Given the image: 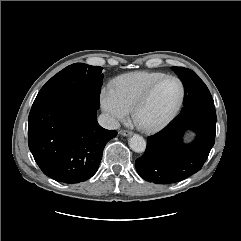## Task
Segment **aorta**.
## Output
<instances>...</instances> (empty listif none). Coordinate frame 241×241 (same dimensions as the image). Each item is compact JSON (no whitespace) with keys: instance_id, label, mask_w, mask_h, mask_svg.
<instances>
[{"instance_id":"762f6f07","label":"aorta","mask_w":241,"mask_h":241,"mask_svg":"<svg viewBox=\"0 0 241 241\" xmlns=\"http://www.w3.org/2000/svg\"><path fill=\"white\" fill-rule=\"evenodd\" d=\"M129 146L134 152L142 153L146 149V141L142 136L134 134L129 139Z\"/></svg>"}]
</instances>
